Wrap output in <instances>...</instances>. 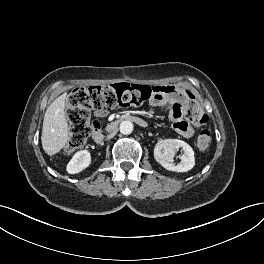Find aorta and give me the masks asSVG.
<instances>
[{"label": "aorta", "mask_w": 264, "mask_h": 264, "mask_svg": "<svg viewBox=\"0 0 264 264\" xmlns=\"http://www.w3.org/2000/svg\"><path fill=\"white\" fill-rule=\"evenodd\" d=\"M133 123L131 121H122L120 123V132L124 135H128V134H131L132 131H133Z\"/></svg>", "instance_id": "aorta-1"}]
</instances>
